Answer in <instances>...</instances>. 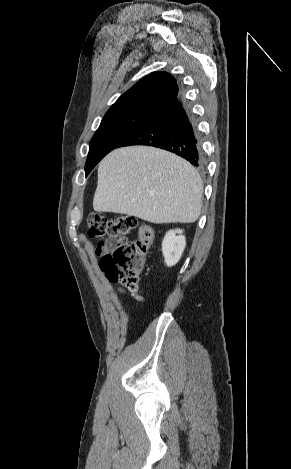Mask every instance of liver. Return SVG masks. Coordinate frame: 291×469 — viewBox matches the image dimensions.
<instances>
[{"mask_svg": "<svg viewBox=\"0 0 291 469\" xmlns=\"http://www.w3.org/2000/svg\"><path fill=\"white\" fill-rule=\"evenodd\" d=\"M202 194V180L189 162L154 147L130 146L100 162L93 208L157 224L193 223Z\"/></svg>", "mask_w": 291, "mask_h": 469, "instance_id": "1", "label": "liver"}]
</instances>
